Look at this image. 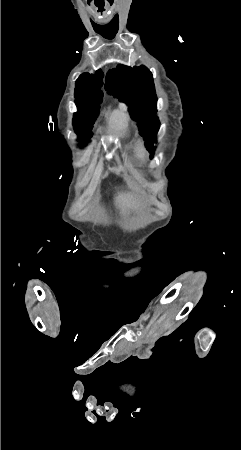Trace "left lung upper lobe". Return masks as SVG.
I'll return each instance as SVG.
<instances>
[{
    "label": "left lung upper lobe",
    "mask_w": 241,
    "mask_h": 450,
    "mask_svg": "<svg viewBox=\"0 0 241 450\" xmlns=\"http://www.w3.org/2000/svg\"><path fill=\"white\" fill-rule=\"evenodd\" d=\"M105 89L128 105L129 113L140 127L148 151L153 152V140L159 129L157 96L152 73L145 66L128 67L119 64L109 70ZM153 153L151 154V157Z\"/></svg>",
    "instance_id": "left-lung-upper-lobe-1"
}]
</instances>
